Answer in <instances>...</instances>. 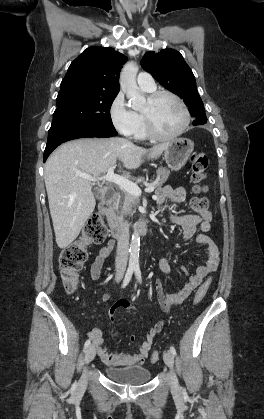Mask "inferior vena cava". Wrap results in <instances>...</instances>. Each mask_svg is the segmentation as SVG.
I'll list each match as a JSON object with an SVG mask.
<instances>
[{"label":"inferior vena cava","mask_w":264,"mask_h":419,"mask_svg":"<svg viewBox=\"0 0 264 419\" xmlns=\"http://www.w3.org/2000/svg\"><path fill=\"white\" fill-rule=\"evenodd\" d=\"M129 249V224L126 221L121 226V233L118 238L115 264L120 271H125L128 260Z\"/></svg>","instance_id":"1"}]
</instances>
